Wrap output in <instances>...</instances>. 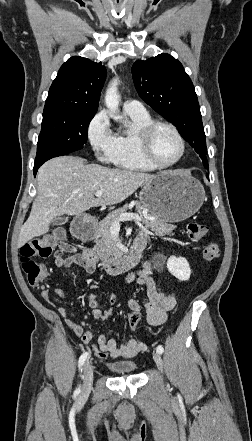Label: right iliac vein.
I'll list each match as a JSON object with an SVG mask.
<instances>
[{
    "instance_id": "63e3f726",
    "label": "right iliac vein",
    "mask_w": 252,
    "mask_h": 441,
    "mask_svg": "<svg viewBox=\"0 0 252 441\" xmlns=\"http://www.w3.org/2000/svg\"><path fill=\"white\" fill-rule=\"evenodd\" d=\"M92 384H93V369L91 363L87 361L84 364V368H83V388L80 395L81 399L86 398L90 394L92 389Z\"/></svg>"
}]
</instances>
